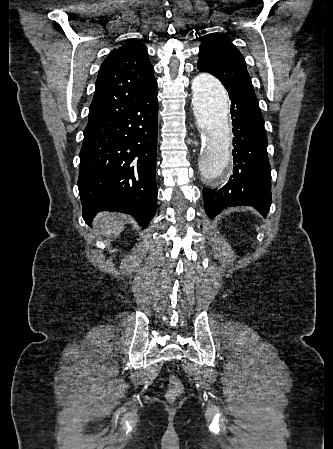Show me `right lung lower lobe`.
<instances>
[{
  "label": "right lung lower lobe",
  "mask_w": 333,
  "mask_h": 449,
  "mask_svg": "<svg viewBox=\"0 0 333 449\" xmlns=\"http://www.w3.org/2000/svg\"><path fill=\"white\" fill-rule=\"evenodd\" d=\"M157 89L106 118L89 122L78 189L87 224L101 210L131 214L146 228L156 211Z\"/></svg>",
  "instance_id": "obj_1"
}]
</instances>
